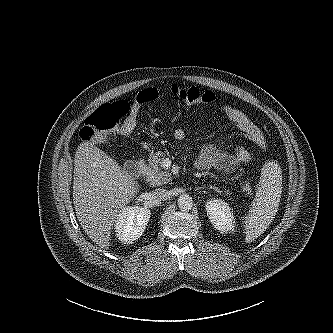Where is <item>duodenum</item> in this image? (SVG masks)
Listing matches in <instances>:
<instances>
[{
    "label": "duodenum",
    "instance_id": "duodenum-1",
    "mask_svg": "<svg viewBox=\"0 0 333 333\" xmlns=\"http://www.w3.org/2000/svg\"><path fill=\"white\" fill-rule=\"evenodd\" d=\"M124 170L130 177H139L145 171V164L142 160H130L126 163Z\"/></svg>",
    "mask_w": 333,
    "mask_h": 333
}]
</instances>
